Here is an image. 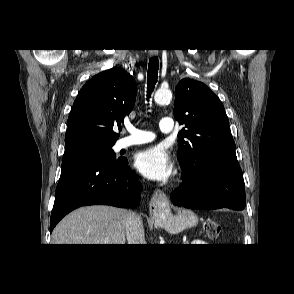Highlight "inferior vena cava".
Instances as JSON below:
<instances>
[{"label":"inferior vena cava","instance_id":"1","mask_svg":"<svg viewBox=\"0 0 294 294\" xmlns=\"http://www.w3.org/2000/svg\"><path fill=\"white\" fill-rule=\"evenodd\" d=\"M126 237L128 244H146L142 218L134 212H129L127 216Z\"/></svg>","mask_w":294,"mask_h":294}]
</instances>
